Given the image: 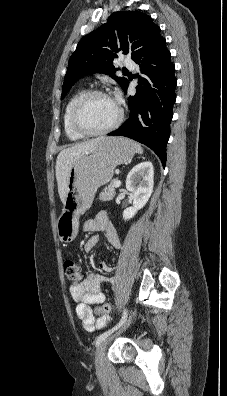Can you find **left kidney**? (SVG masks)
<instances>
[{
  "label": "left kidney",
  "instance_id": "obj_1",
  "mask_svg": "<svg viewBox=\"0 0 227 396\" xmlns=\"http://www.w3.org/2000/svg\"><path fill=\"white\" fill-rule=\"evenodd\" d=\"M154 185V168L150 161L137 164L126 178V189L133 195V206L123 211V219L129 220L148 202Z\"/></svg>",
  "mask_w": 227,
  "mask_h": 396
}]
</instances>
